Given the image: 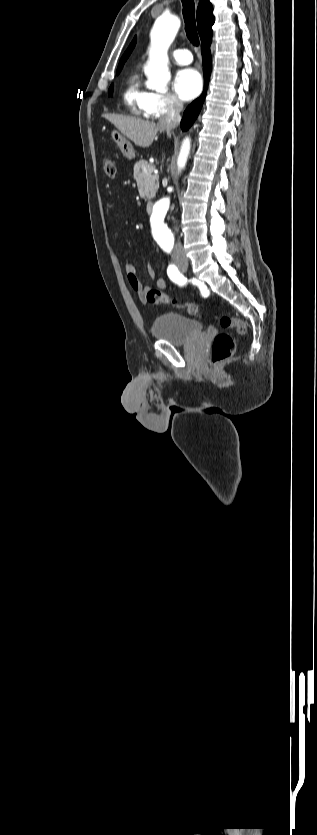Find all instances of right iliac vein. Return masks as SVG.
<instances>
[{"instance_id": "1", "label": "right iliac vein", "mask_w": 317, "mask_h": 835, "mask_svg": "<svg viewBox=\"0 0 317 835\" xmlns=\"http://www.w3.org/2000/svg\"><path fill=\"white\" fill-rule=\"evenodd\" d=\"M177 265H178L179 267L186 266V265H187V261H186L185 259L178 260V261H177Z\"/></svg>"}]
</instances>
